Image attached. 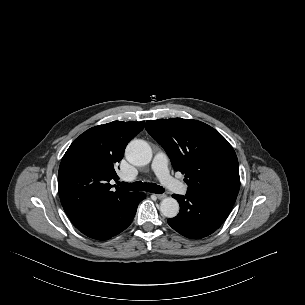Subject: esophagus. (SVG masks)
<instances>
[{"label":"esophagus","instance_id":"1","mask_svg":"<svg viewBox=\"0 0 305 305\" xmlns=\"http://www.w3.org/2000/svg\"><path fill=\"white\" fill-rule=\"evenodd\" d=\"M158 199H163L166 197V194H154Z\"/></svg>","mask_w":305,"mask_h":305}]
</instances>
